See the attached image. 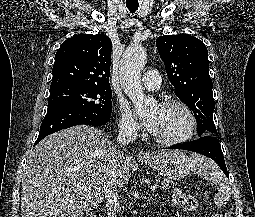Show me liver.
Returning a JSON list of instances; mask_svg holds the SVG:
<instances>
[{"label": "liver", "mask_w": 255, "mask_h": 217, "mask_svg": "<svg viewBox=\"0 0 255 217\" xmlns=\"http://www.w3.org/2000/svg\"><path fill=\"white\" fill-rule=\"evenodd\" d=\"M113 143L98 128L56 132L29 152L22 177V217H78L103 201ZM132 158L119 152L118 187L131 176Z\"/></svg>", "instance_id": "obj_1"}]
</instances>
